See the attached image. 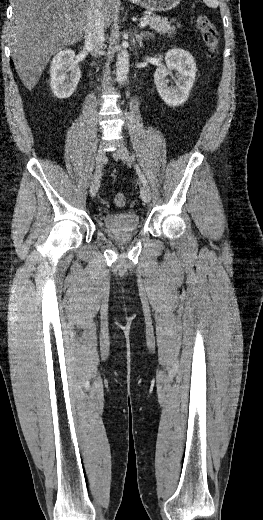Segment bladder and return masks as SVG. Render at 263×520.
<instances>
[{
  "label": "bladder",
  "instance_id": "bladder-1",
  "mask_svg": "<svg viewBox=\"0 0 263 520\" xmlns=\"http://www.w3.org/2000/svg\"><path fill=\"white\" fill-rule=\"evenodd\" d=\"M103 227L112 233H126L140 228V216L136 213L106 214L102 217Z\"/></svg>",
  "mask_w": 263,
  "mask_h": 520
}]
</instances>
